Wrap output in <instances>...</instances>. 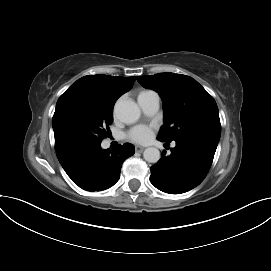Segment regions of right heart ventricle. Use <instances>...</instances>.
<instances>
[{"mask_svg":"<svg viewBox=\"0 0 271 271\" xmlns=\"http://www.w3.org/2000/svg\"><path fill=\"white\" fill-rule=\"evenodd\" d=\"M147 92H149V91H142V92H140L139 96H140V95H143V94H145V93H147Z\"/></svg>","mask_w":271,"mask_h":271,"instance_id":"e07e8e85","label":"right heart ventricle"}]
</instances>
